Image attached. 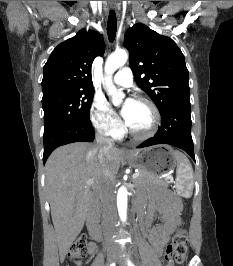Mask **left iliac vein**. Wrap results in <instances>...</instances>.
<instances>
[{"mask_svg":"<svg viewBox=\"0 0 233 266\" xmlns=\"http://www.w3.org/2000/svg\"><path fill=\"white\" fill-rule=\"evenodd\" d=\"M120 266H126L122 259L120 260Z\"/></svg>","mask_w":233,"mask_h":266,"instance_id":"left-iliac-vein-1","label":"left iliac vein"}]
</instances>
